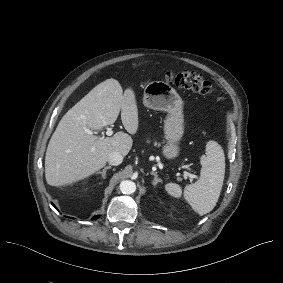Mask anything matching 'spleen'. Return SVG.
<instances>
[{
	"mask_svg": "<svg viewBox=\"0 0 283 283\" xmlns=\"http://www.w3.org/2000/svg\"><path fill=\"white\" fill-rule=\"evenodd\" d=\"M202 165L198 181L187 185L184 198L200 215L209 213L215 207L223 186L225 175V156L221 146L215 141L206 144V155L200 158ZM165 189L169 195L179 198L181 187L176 183H168Z\"/></svg>",
	"mask_w": 283,
	"mask_h": 283,
	"instance_id": "3e777b00",
	"label": "spleen"
}]
</instances>
